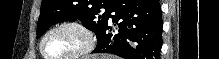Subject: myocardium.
I'll return each instance as SVG.
<instances>
[{"mask_svg":"<svg viewBox=\"0 0 219 59\" xmlns=\"http://www.w3.org/2000/svg\"><path fill=\"white\" fill-rule=\"evenodd\" d=\"M63 28H72L80 32L83 36L84 43L78 51L68 56L51 57L44 50L45 41L51 33ZM95 44H96L95 36L93 32L85 24L76 20H68V21L60 22L54 25L53 27H51L49 30H47L41 38L39 47H40V52L45 59H78L92 52V50L95 47Z\"/></svg>","mask_w":219,"mask_h":59,"instance_id":"obj_1","label":"myocardium"}]
</instances>
